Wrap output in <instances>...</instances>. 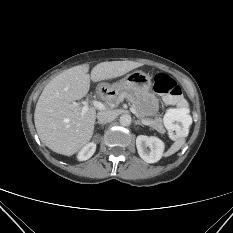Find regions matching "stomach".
<instances>
[{"label":"stomach","instance_id":"0dacf381","mask_svg":"<svg viewBox=\"0 0 233 233\" xmlns=\"http://www.w3.org/2000/svg\"><path fill=\"white\" fill-rule=\"evenodd\" d=\"M151 77L143 71H134L127 74L120 81L110 85L101 84L100 88L108 92L119 93L123 90L132 92L136 99L139 111L145 116H154L159 110V100L155 93L151 92Z\"/></svg>","mask_w":233,"mask_h":233}]
</instances>
